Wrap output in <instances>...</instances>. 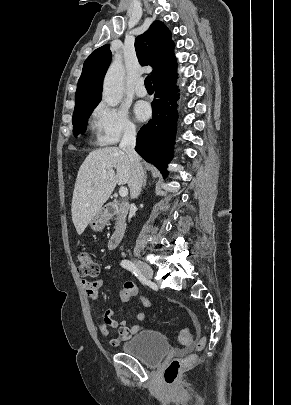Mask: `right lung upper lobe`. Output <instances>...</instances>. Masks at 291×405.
<instances>
[{"instance_id":"obj_1","label":"right lung upper lobe","mask_w":291,"mask_h":405,"mask_svg":"<svg viewBox=\"0 0 291 405\" xmlns=\"http://www.w3.org/2000/svg\"><path fill=\"white\" fill-rule=\"evenodd\" d=\"M138 60L143 66L153 67L152 82L175 74L177 68L171 33L161 21H154L149 29L135 40ZM111 62L109 45L96 49L85 61L75 94L74 112L97 106L101 100L102 81Z\"/></svg>"}]
</instances>
